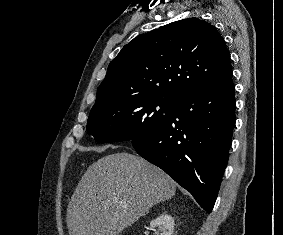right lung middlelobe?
Returning <instances> with one entry per match:
<instances>
[{
    "label": "right lung middle lobe",
    "mask_w": 283,
    "mask_h": 235,
    "mask_svg": "<svg viewBox=\"0 0 283 235\" xmlns=\"http://www.w3.org/2000/svg\"><path fill=\"white\" fill-rule=\"evenodd\" d=\"M174 104L168 97H135L93 106L87 132L99 143L142 138L162 126Z\"/></svg>",
    "instance_id": "dd1d6c3e"
}]
</instances>
